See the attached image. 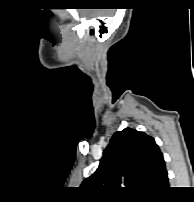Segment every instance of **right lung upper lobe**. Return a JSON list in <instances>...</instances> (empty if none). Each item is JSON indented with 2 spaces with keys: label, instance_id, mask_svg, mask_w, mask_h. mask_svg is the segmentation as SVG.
<instances>
[{
  "label": "right lung upper lobe",
  "instance_id": "obj_1",
  "mask_svg": "<svg viewBox=\"0 0 194 202\" xmlns=\"http://www.w3.org/2000/svg\"><path fill=\"white\" fill-rule=\"evenodd\" d=\"M163 155L154 138L135 129L116 132L96 172L82 183L101 195L147 198L168 186Z\"/></svg>",
  "mask_w": 194,
  "mask_h": 202
}]
</instances>
